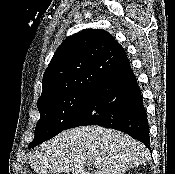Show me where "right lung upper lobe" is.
I'll return each mask as SVG.
<instances>
[{
  "instance_id": "cb5924a9",
  "label": "right lung upper lobe",
  "mask_w": 175,
  "mask_h": 174,
  "mask_svg": "<svg viewBox=\"0 0 175 174\" xmlns=\"http://www.w3.org/2000/svg\"><path fill=\"white\" fill-rule=\"evenodd\" d=\"M128 63L125 50L108 32L87 29L74 34L59 46L45 70L43 91L38 101L95 86Z\"/></svg>"
}]
</instances>
